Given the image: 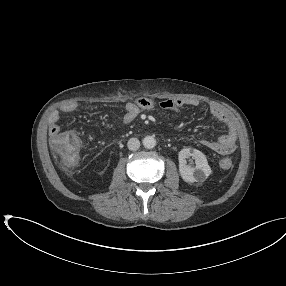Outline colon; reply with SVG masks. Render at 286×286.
<instances>
[{
  "instance_id": "colon-1",
  "label": "colon",
  "mask_w": 286,
  "mask_h": 286,
  "mask_svg": "<svg viewBox=\"0 0 286 286\" xmlns=\"http://www.w3.org/2000/svg\"><path fill=\"white\" fill-rule=\"evenodd\" d=\"M51 144L65 166H73L77 163L80 139L75 133H57L51 137ZM220 165L223 169H230L233 166V161L230 158H225L221 160Z\"/></svg>"
}]
</instances>
